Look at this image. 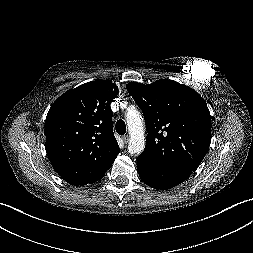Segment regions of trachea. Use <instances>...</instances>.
<instances>
[{"instance_id": "trachea-1", "label": "trachea", "mask_w": 253, "mask_h": 253, "mask_svg": "<svg viewBox=\"0 0 253 253\" xmlns=\"http://www.w3.org/2000/svg\"><path fill=\"white\" fill-rule=\"evenodd\" d=\"M116 132L119 135H124L126 133V124L123 120H118L115 125Z\"/></svg>"}]
</instances>
